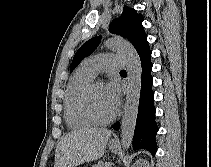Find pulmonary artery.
<instances>
[{"mask_svg": "<svg viewBox=\"0 0 211 167\" xmlns=\"http://www.w3.org/2000/svg\"><path fill=\"white\" fill-rule=\"evenodd\" d=\"M84 69L96 76L104 70H119L126 66V60L118 55L98 54L85 59L81 65Z\"/></svg>", "mask_w": 211, "mask_h": 167, "instance_id": "obj_1", "label": "pulmonary artery"}]
</instances>
